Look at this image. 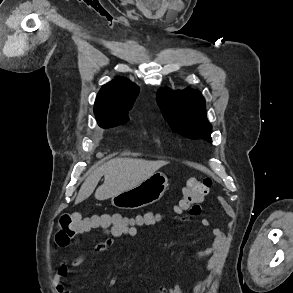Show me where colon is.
Instances as JSON below:
<instances>
[{"mask_svg": "<svg viewBox=\"0 0 293 293\" xmlns=\"http://www.w3.org/2000/svg\"><path fill=\"white\" fill-rule=\"evenodd\" d=\"M212 180L208 177L190 178L182 189V196L175 208L177 212H190L198 206L209 192ZM134 219L121 215H95L82 217L77 212L63 213L59 216L54 244L57 247L69 245L76 237L92 229H103L108 232H121L130 229Z\"/></svg>", "mask_w": 293, "mask_h": 293, "instance_id": "colon-1", "label": "colon"}]
</instances>
